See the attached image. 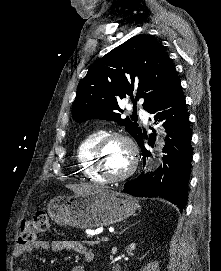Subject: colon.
<instances>
[{
	"label": "colon",
	"instance_id": "1",
	"mask_svg": "<svg viewBox=\"0 0 221 271\" xmlns=\"http://www.w3.org/2000/svg\"><path fill=\"white\" fill-rule=\"evenodd\" d=\"M50 228V220L48 214L44 210L38 211L33 218L23 222L18 236L20 246L35 240L40 234L45 233Z\"/></svg>",
	"mask_w": 221,
	"mask_h": 271
}]
</instances>
